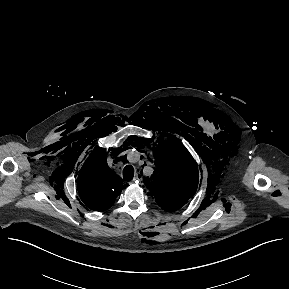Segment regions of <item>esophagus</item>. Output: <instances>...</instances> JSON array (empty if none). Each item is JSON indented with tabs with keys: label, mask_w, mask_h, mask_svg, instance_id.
<instances>
[{
	"label": "esophagus",
	"mask_w": 289,
	"mask_h": 289,
	"mask_svg": "<svg viewBox=\"0 0 289 289\" xmlns=\"http://www.w3.org/2000/svg\"><path fill=\"white\" fill-rule=\"evenodd\" d=\"M140 178L138 176V174L134 177L133 182L139 183Z\"/></svg>",
	"instance_id": "1"
}]
</instances>
